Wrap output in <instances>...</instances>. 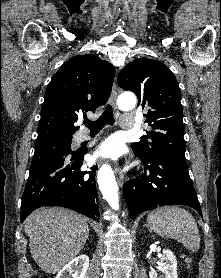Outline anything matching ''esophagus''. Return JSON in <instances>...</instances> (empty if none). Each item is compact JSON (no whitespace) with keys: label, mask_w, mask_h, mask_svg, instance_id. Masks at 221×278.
Returning a JSON list of instances; mask_svg holds the SVG:
<instances>
[{"label":"esophagus","mask_w":221,"mask_h":278,"mask_svg":"<svg viewBox=\"0 0 221 278\" xmlns=\"http://www.w3.org/2000/svg\"><path fill=\"white\" fill-rule=\"evenodd\" d=\"M116 99H117V87H116V83H114L112 87L111 96H110V102L113 106H116ZM114 172L117 177V181L122 186L124 184V175L121 172V168L119 166H116Z\"/></svg>","instance_id":"esophagus-1"}]
</instances>
